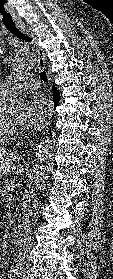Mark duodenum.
<instances>
[{
  "instance_id": "obj_1",
  "label": "duodenum",
  "mask_w": 113,
  "mask_h": 279,
  "mask_svg": "<svg viewBox=\"0 0 113 279\" xmlns=\"http://www.w3.org/2000/svg\"><path fill=\"white\" fill-rule=\"evenodd\" d=\"M21 238V226L16 224L11 229L10 240L14 245H19Z\"/></svg>"
}]
</instances>
